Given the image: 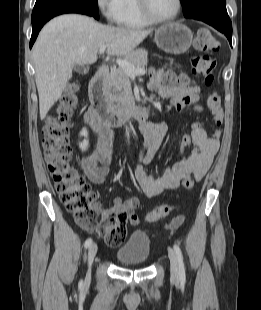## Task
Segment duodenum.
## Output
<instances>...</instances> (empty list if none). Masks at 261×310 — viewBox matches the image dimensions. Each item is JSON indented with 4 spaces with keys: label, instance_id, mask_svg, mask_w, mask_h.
I'll return each mask as SVG.
<instances>
[{
    "label": "duodenum",
    "instance_id": "duodenum-1",
    "mask_svg": "<svg viewBox=\"0 0 261 310\" xmlns=\"http://www.w3.org/2000/svg\"><path fill=\"white\" fill-rule=\"evenodd\" d=\"M109 68L102 65L92 77L89 84V95L92 107L88 111L87 121L97 131L101 132L105 126L118 125L129 118H136L146 123L149 114L148 107L135 103L111 105L105 89L106 76Z\"/></svg>",
    "mask_w": 261,
    "mask_h": 310
}]
</instances>
